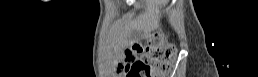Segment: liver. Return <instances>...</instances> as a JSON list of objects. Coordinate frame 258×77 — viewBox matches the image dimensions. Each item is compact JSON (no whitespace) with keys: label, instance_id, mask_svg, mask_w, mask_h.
Instances as JSON below:
<instances>
[{"label":"liver","instance_id":"1","mask_svg":"<svg viewBox=\"0 0 258 77\" xmlns=\"http://www.w3.org/2000/svg\"><path fill=\"white\" fill-rule=\"evenodd\" d=\"M147 9L145 12L139 14L137 23L147 28L156 27L159 22V9L168 4V0H145Z\"/></svg>","mask_w":258,"mask_h":77}]
</instances>
